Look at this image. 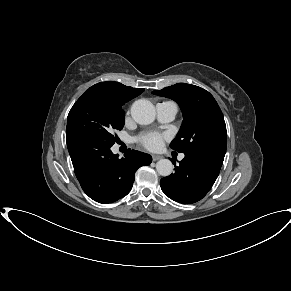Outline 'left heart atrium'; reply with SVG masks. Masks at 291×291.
<instances>
[{
    "label": "left heart atrium",
    "instance_id": "obj_1",
    "mask_svg": "<svg viewBox=\"0 0 291 291\" xmlns=\"http://www.w3.org/2000/svg\"><path fill=\"white\" fill-rule=\"evenodd\" d=\"M166 135L158 132H148L138 137V142L149 150H158L162 147Z\"/></svg>",
    "mask_w": 291,
    "mask_h": 291
}]
</instances>
